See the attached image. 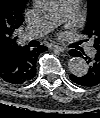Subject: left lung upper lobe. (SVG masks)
<instances>
[{"label":"left lung upper lobe","mask_w":100,"mask_h":118,"mask_svg":"<svg viewBox=\"0 0 100 118\" xmlns=\"http://www.w3.org/2000/svg\"><path fill=\"white\" fill-rule=\"evenodd\" d=\"M87 24L83 34L94 41V48L100 52V0H88Z\"/></svg>","instance_id":"5c2ea615"}]
</instances>
